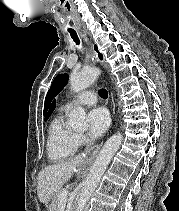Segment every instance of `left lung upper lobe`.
I'll return each mask as SVG.
<instances>
[{
	"instance_id": "1",
	"label": "left lung upper lobe",
	"mask_w": 179,
	"mask_h": 211,
	"mask_svg": "<svg viewBox=\"0 0 179 211\" xmlns=\"http://www.w3.org/2000/svg\"><path fill=\"white\" fill-rule=\"evenodd\" d=\"M95 50L97 51V46H95ZM99 58L102 59V55L99 53ZM68 82L67 74L58 75L52 82V85L46 95L45 105H44V114H46L47 109L51 103V100L64 88V86Z\"/></svg>"
}]
</instances>
